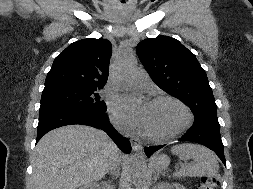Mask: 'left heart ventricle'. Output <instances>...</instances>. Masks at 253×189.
Instances as JSON below:
<instances>
[{"label": "left heart ventricle", "mask_w": 253, "mask_h": 189, "mask_svg": "<svg viewBox=\"0 0 253 189\" xmlns=\"http://www.w3.org/2000/svg\"><path fill=\"white\" fill-rule=\"evenodd\" d=\"M183 119L184 114L176 105L166 101L151 103L144 130L165 135L179 127Z\"/></svg>", "instance_id": "left-heart-ventricle-1"}]
</instances>
